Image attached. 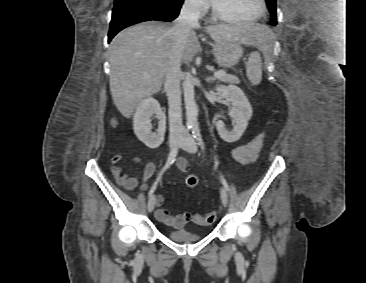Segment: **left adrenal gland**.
Segmentation results:
<instances>
[{"label":"left adrenal gland","instance_id":"left-adrenal-gland-1","mask_svg":"<svg viewBox=\"0 0 366 283\" xmlns=\"http://www.w3.org/2000/svg\"><path fill=\"white\" fill-rule=\"evenodd\" d=\"M214 79H215V77L210 76V77H207V78H206V81H207V82H211V81H213Z\"/></svg>","mask_w":366,"mask_h":283}]
</instances>
